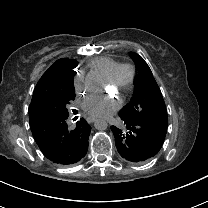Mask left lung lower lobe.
Instances as JSON below:
<instances>
[{"instance_id": "1", "label": "left lung lower lobe", "mask_w": 208, "mask_h": 208, "mask_svg": "<svg viewBox=\"0 0 208 208\" xmlns=\"http://www.w3.org/2000/svg\"><path fill=\"white\" fill-rule=\"evenodd\" d=\"M120 126H111L119 154L131 163H144L161 149L167 130L147 120L119 113Z\"/></svg>"}]
</instances>
